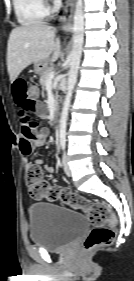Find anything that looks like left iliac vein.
Masks as SVG:
<instances>
[{"label": "left iliac vein", "mask_w": 134, "mask_h": 281, "mask_svg": "<svg viewBox=\"0 0 134 281\" xmlns=\"http://www.w3.org/2000/svg\"><path fill=\"white\" fill-rule=\"evenodd\" d=\"M62 163H63L64 172L66 173V175L71 176L72 172H71V168L68 164L67 154L65 152L63 154Z\"/></svg>", "instance_id": "obj_1"}]
</instances>
